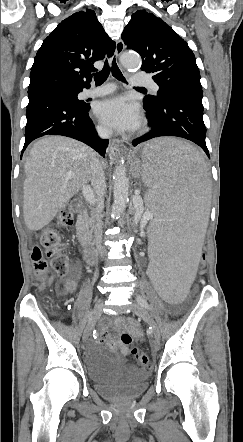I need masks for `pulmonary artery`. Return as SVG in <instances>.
Listing matches in <instances>:
<instances>
[{"label":"pulmonary artery","instance_id":"obj_1","mask_svg":"<svg viewBox=\"0 0 243 442\" xmlns=\"http://www.w3.org/2000/svg\"><path fill=\"white\" fill-rule=\"evenodd\" d=\"M132 85L147 86L153 93H157V91L159 90V87L155 82H153L151 79L141 77V75L138 73L133 74ZM112 90H113L112 86H102L99 88L87 89L83 91L82 97L83 98L99 97L110 93Z\"/></svg>","mask_w":243,"mask_h":442}]
</instances>
